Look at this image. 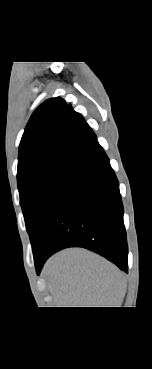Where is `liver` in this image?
Instances as JSON below:
<instances>
[{
    "mask_svg": "<svg viewBox=\"0 0 152 369\" xmlns=\"http://www.w3.org/2000/svg\"><path fill=\"white\" fill-rule=\"evenodd\" d=\"M43 276L57 307H121L127 287L124 273L114 264L80 248L50 258Z\"/></svg>",
    "mask_w": 152,
    "mask_h": 369,
    "instance_id": "liver-1",
    "label": "liver"
}]
</instances>
